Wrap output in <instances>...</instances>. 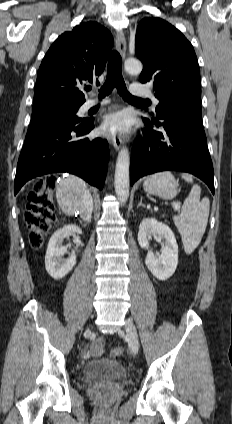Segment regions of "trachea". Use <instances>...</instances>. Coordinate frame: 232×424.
<instances>
[{
    "instance_id": "obj_1",
    "label": "trachea",
    "mask_w": 232,
    "mask_h": 424,
    "mask_svg": "<svg viewBox=\"0 0 232 424\" xmlns=\"http://www.w3.org/2000/svg\"><path fill=\"white\" fill-rule=\"evenodd\" d=\"M121 63L122 60L120 54L117 51H112L109 56L106 81L103 87L99 90V98H104L109 95L114 87H116L118 93L127 101L140 104L150 103L149 100L134 97L127 91L122 77Z\"/></svg>"
}]
</instances>
